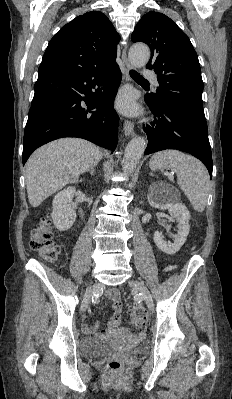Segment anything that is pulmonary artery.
I'll return each instance as SVG.
<instances>
[{"label": "pulmonary artery", "instance_id": "e3ab8cb5", "mask_svg": "<svg viewBox=\"0 0 232 399\" xmlns=\"http://www.w3.org/2000/svg\"><path fill=\"white\" fill-rule=\"evenodd\" d=\"M145 79L146 80H152L154 84H157V79L154 78V71L153 69H146L145 71Z\"/></svg>", "mask_w": 232, "mask_h": 399}]
</instances>
